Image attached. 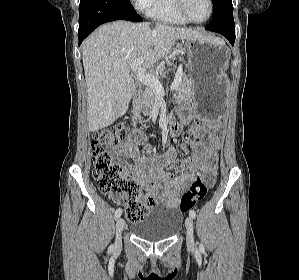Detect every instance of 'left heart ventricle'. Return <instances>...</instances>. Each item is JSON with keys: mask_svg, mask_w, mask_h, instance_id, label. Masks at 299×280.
Wrapping results in <instances>:
<instances>
[{"mask_svg": "<svg viewBox=\"0 0 299 280\" xmlns=\"http://www.w3.org/2000/svg\"><path fill=\"white\" fill-rule=\"evenodd\" d=\"M186 10L191 18L197 21L204 20L209 12L207 0H185Z\"/></svg>", "mask_w": 299, "mask_h": 280, "instance_id": "b2bd125f", "label": "left heart ventricle"}]
</instances>
